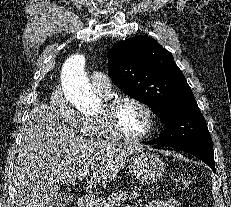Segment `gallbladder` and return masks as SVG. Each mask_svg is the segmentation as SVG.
I'll return each mask as SVG.
<instances>
[{
    "mask_svg": "<svg viewBox=\"0 0 231 207\" xmlns=\"http://www.w3.org/2000/svg\"><path fill=\"white\" fill-rule=\"evenodd\" d=\"M75 197L71 193L61 192L56 200V205L58 207H65L74 201Z\"/></svg>",
    "mask_w": 231,
    "mask_h": 207,
    "instance_id": "obj_1",
    "label": "gallbladder"
}]
</instances>
